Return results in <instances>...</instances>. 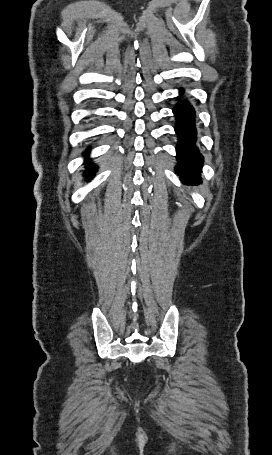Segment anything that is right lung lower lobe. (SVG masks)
<instances>
[{"mask_svg":"<svg viewBox=\"0 0 272 455\" xmlns=\"http://www.w3.org/2000/svg\"><path fill=\"white\" fill-rule=\"evenodd\" d=\"M89 149L85 151V154H88L89 153ZM97 169L96 166L92 165V164H88L87 166V170L85 172V175L88 176V175H91L93 174V172Z\"/></svg>","mask_w":272,"mask_h":455,"instance_id":"obj_1","label":"right lung lower lobe"}]
</instances>
